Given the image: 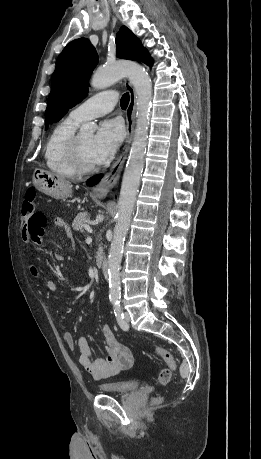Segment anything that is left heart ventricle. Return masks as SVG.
Here are the masks:
<instances>
[{"instance_id":"b2bd125f","label":"left heart ventricle","mask_w":261,"mask_h":459,"mask_svg":"<svg viewBox=\"0 0 261 459\" xmlns=\"http://www.w3.org/2000/svg\"><path fill=\"white\" fill-rule=\"evenodd\" d=\"M94 135L92 133H82L79 135L84 160L88 164H95L92 158Z\"/></svg>"}]
</instances>
